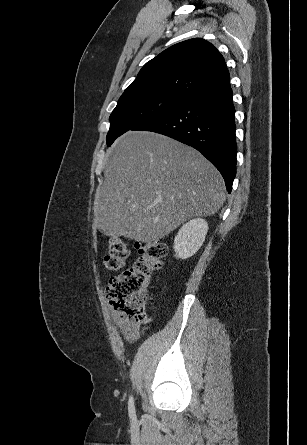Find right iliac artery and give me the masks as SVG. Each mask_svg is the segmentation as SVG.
I'll list each match as a JSON object with an SVG mask.
<instances>
[{
    "label": "right iliac artery",
    "instance_id": "1",
    "mask_svg": "<svg viewBox=\"0 0 307 445\" xmlns=\"http://www.w3.org/2000/svg\"><path fill=\"white\" fill-rule=\"evenodd\" d=\"M128 411H129V416L131 419H135V407H134V401H133V397L130 396L129 398V402H128Z\"/></svg>",
    "mask_w": 307,
    "mask_h": 445
}]
</instances>
